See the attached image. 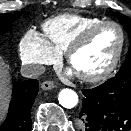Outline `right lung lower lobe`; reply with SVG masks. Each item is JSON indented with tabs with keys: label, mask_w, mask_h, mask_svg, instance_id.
<instances>
[{
	"label": "right lung lower lobe",
	"mask_w": 131,
	"mask_h": 131,
	"mask_svg": "<svg viewBox=\"0 0 131 131\" xmlns=\"http://www.w3.org/2000/svg\"><path fill=\"white\" fill-rule=\"evenodd\" d=\"M39 91L38 81L29 79L12 89V99L5 121L0 125V131H30V111Z\"/></svg>",
	"instance_id": "obj_1"
}]
</instances>
